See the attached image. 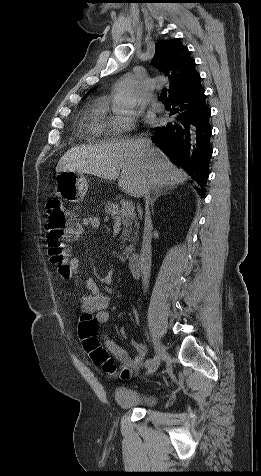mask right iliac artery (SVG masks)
<instances>
[{
    "label": "right iliac artery",
    "instance_id": "1",
    "mask_svg": "<svg viewBox=\"0 0 261 476\" xmlns=\"http://www.w3.org/2000/svg\"><path fill=\"white\" fill-rule=\"evenodd\" d=\"M150 363H151V360H150V359H147V360L145 361V367H148V366L150 365Z\"/></svg>",
    "mask_w": 261,
    "mask_h": 476
}]
</instances>
